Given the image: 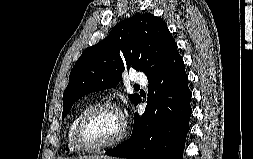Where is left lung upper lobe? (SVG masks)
I'll use <instances>...</instances> for the list:
<instances>
[{
  "mask_svg": "<svg viewBox=\"0 0 253 159\" xmlns=\"http://www.w3.org/2000/svg\"><path fill=\"white\" fill-rule=\"evenodd\" d=\"M176 52L177 44L159 17L149 13L136 14L121 21L107 38L85 49L72 68L63 94L62 119L79 98L116 86L125 69L132 67L149 77ZM129 97L134 104L140 99L138 94Z\"/></svg>",
  "mask_w": 253,
  "mask_h": 159,
  "instance_id": "5c2ea615",
  "label": "left lung upper lobe"
}]
</instances>
